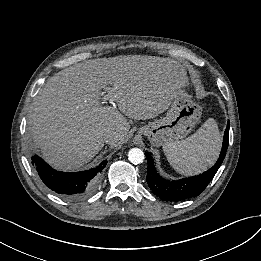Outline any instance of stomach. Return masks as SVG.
Wrapping results in <instances>:
<instances>
[{
  "instance_id": "1",
  "label": "stomach",
  "mask_w": 261,
  "mask_h": 261,
  "mask_svg": "<svg viewBox=\"0 0 261 261\" xmlns=\"http://www.w3.org/2000/svg\"><path fill=\"white\" fill-rule=\"evenodd\" d=\"M202 115V107L182 88L173 98L165 117L139 128L138 133L159 147L186 137Z\"/></svg>"
}]
</instances>
